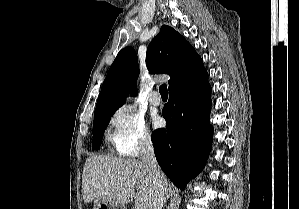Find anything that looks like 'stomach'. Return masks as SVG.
Masks as SVG:
<instances>
[{"mask_svg":"<svg viewBox=\"0 0 299 209\" xmlns=\"http://www.w3.org/2000/svg\"><path fill=\"white\" fill-rule=\"evenodd\" d=\"M93 209H124V207L120 204H116L102 198H95Z\"/></svg>","mask_w":299,"mask_h":209,"instance_id":"obj_1","label":"stomach"}]
</instances>
